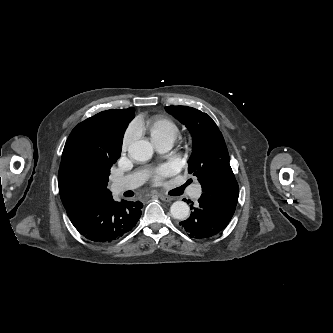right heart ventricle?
I'll list each match as a JSON object with an SVG mask.
<instances>
[{"label":"right heart ventricle","instance_id":"right-heart-ventricle-1","mask_svg":"<svg viewBox=\"0 0 333 333\" xmlns=\"http://www.w3.org/2000/svg\"><path fill=\"white\" fill-rule=\"evenodd\" d=\"M148 128L153 142L160 140H171L173 142L179 133L176 123L163 116L153 119Z\"/></svg>","mask_w":333,"mask_h":333}]
</instances>
